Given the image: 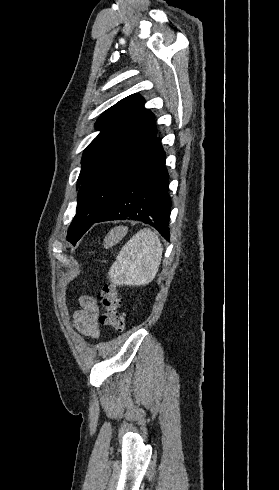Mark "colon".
<instances>
[{
  "mask_svg": "<svg viewBox=\"0 0 279 490\" xmlns=\"http://www.w3.org/2000/svg\"><path fill=\"white\" fill-rule=\"evenodd\" d=\"M102 308L99 322L102 325L122 331L126 325L123 315L120 313L121 298L114 284L105 283L100 291Z\"/></svg>",
  "mask_w": 279,
  "mask_h": 490,
  "instance_id": "1",
  "label": "colon"
}]
</instances>
